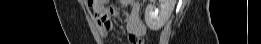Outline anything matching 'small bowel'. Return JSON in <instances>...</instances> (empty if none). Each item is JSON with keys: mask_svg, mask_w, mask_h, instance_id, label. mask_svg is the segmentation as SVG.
Returning <instances> with one entry per match:
<instances>
[{"mask_svg": "<svg viewBox=\"0 0 261 44\" xmlns=\"http://www.w3.org/2000/svg\"><path fill=\"white\" fill-rule=\"evenodd\" d=\"M131 1H120L121 6H127ZM93 10L96 16V20L99 27V32L102 36H107L113 29V22L111 16L119 14L117 7L98 6L95 4ZM128 40L130 43H136L138 39H141L146 33V26L142 20L140 12V4L138 2L132 3V9L127 19L126 25Z\"/></svg>", "mask_w": 261, "mask_h": 44, "instance_id": "obj_1", "label": "small bowel"}]
</instances>
